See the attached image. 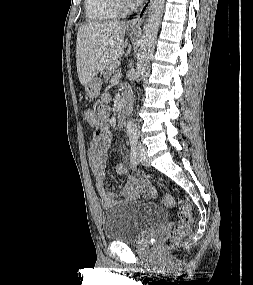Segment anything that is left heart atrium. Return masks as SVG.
I'll list each match as a JSON object with an SVG mask.
<instances>
[{
  "mask_svg": "<svg viewBox=\"0 0 253 285\" xmlns=\"http://www.w3.org/2000/svg\"><path fill=\"white\" fill-rule=\"evenodd\" d=\"M130 1H139V0H130Z\"/></svg>",
  "mask_w": 253,
  "mask_h": 285,
  "instance_id": "obj_1",
  "label": "left heart atrium"
}]
</instances>
